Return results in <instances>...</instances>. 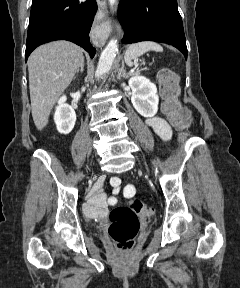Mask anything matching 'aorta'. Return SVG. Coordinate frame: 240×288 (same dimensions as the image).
I'll return each instance as SVG.
<instances>
[{
  "label": "aorta",
  "mask_w": 240,
  "mask_h": 288,
  "mask_svg": "<svg viewBox=\"0 0 240 288\" xmlns=\"http://www.w3.org/2000/svg\"><path fill=\"white\" fill-rule=\"evenodd\" d=\"M115 3L116 0H109V4L112 9ZM117 52H118V42L117 39L114 38L108 42L107 46L100 55L97 70L95 73L97 78L105 75L111 69Z\"/></svg>",
  "instance_id": "aorta-1"
}]
</instances>
